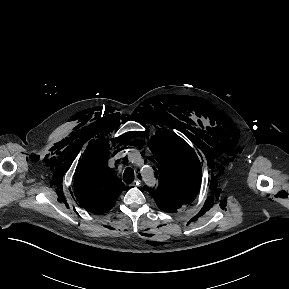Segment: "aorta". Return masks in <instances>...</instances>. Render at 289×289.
Masks as SVG:
<instances>
[{
  "mask_svg": "<svg viewBox=\"0 0 289 289\" xmlns=\"http://www.w3.org/2000/svg\"><path fill=\"white\" fill-rule=\"evenodd\" d=\"M139 159V156L136 157L134 160V163H137ZM140 176L144 180L145 183L152 185L155 183V177H154V170L151 167L143 166L140 169Z\"/></svg>",
  "mask_w": 289,
  "mask_h": 289,
  "instance_id": "obj_1",
  "label": "aorta"
}]
</instances>
